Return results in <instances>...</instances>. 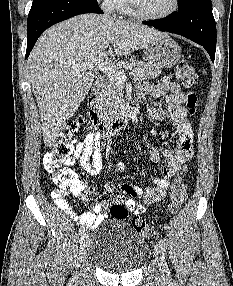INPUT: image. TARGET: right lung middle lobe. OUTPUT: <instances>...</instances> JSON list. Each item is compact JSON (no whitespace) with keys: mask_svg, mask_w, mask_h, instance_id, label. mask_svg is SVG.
I'll list each match as a JSON object with an SVG mask.
<instances>
[{"mask_svg":"<svg viewBox=\"0 0 233 286\" xmlns=\"http://www.w3.org/2000/svg\"><path fill=\"white\" fill-rule=\"evenodd\" d=\"M39 0H33V3H36V2H38ZM94 1H97V0H94Z\"/></svg>","mask_w":233,"mask_h":286,"instance_id":"1","label":"right lung middle lobe"}]
</instances>
